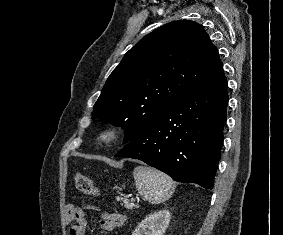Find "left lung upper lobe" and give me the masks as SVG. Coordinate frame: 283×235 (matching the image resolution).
<instances>
[{
  "instance_id": "5c2ea615",
  "label": "left lung upper lobe",
  "mask_w": 283,
  "mask_h": 235,
  "mask_svg": "<svg viewBox=\"0 0 283 235\" xmlns=\"http://www.w3.org/2000/svg\"><path fill=\"white\" fill-rule=\"evenodd\" d=\"M221 68L218 50L200 24L170 22L125 54L108 77L94 114L122 126L128 143Z\"/></svg>"
}]
</instances>
